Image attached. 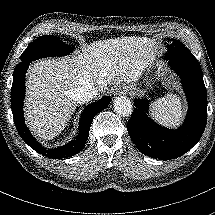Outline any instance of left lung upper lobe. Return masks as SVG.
<instances>
[{
  "instance_id": "1",
  "label": "left lung upper lobe",
  "mask_w": 215,
  "mask_h": 215,
  "mask_svg": "<svg viewBox=\"0 0 215 215\" xmlns=\"http://www.w3.org/2000/svg\"><path fill=\"white\" fill-rule=\"evenodd\" d=\"M168 41H172L170 45L167 46L168 54H184L190 52L188 48H186L180 41L176 39H168Z\"/></svg>"
}]
</instances>
